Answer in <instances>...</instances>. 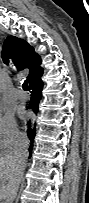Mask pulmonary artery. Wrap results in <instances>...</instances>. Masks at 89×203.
I'll return each mask as SVG.
<instances>
[{
  "mask_svg": "<svg viewBox=\"0 0 89 203\" xmlns=\"http://www.w3.org/2000/svg\"><path fill=\"white\" fill-rule=\"evenodd\" d=\"M16 97L20 101H25L28 99V94L22 90H18L16 93Z\"/></svg>",
  "mask_w": 89,
  "mask_h": 203,
  "instance_id": "obj_1",
  "label": "pulmonary artery"
}]
</instances>
